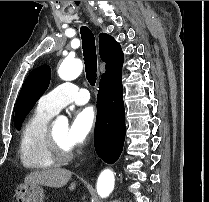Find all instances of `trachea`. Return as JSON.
I'll use <instances>...</instances> for the list:
<instances>
[{
  "label": "trachea",
  "mask_w": 209,
  "mask_h": 202,
  "mask_svg": "<svg viewBox=\"0 0 209 202\" xmlns=\"http://www.w3.org/2000/svg\"><path fill=\"white\" fill-rule=\"evenodd\" d=\"M80 34L82 39L86 78L91 86H95L97 80V55L95 37L92 31L85 26L81 27Z\"/></svg>",
  "instance_id": "obj_1"
}]
</instances>
